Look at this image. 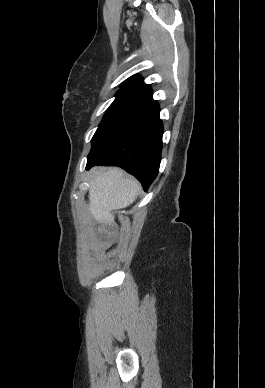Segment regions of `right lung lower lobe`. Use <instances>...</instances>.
Instances as JSON below:
<instances>
[{
    "label": "right lung lower lobe",
    "mask_w": 265,
    "mask_h": 388,
    "mask_svg": "<svg viewBox=\"0 0 265 388\" xmlns=\"http://www.w3.org/2000/svg\"><path fill=\"white\" fill-rule=\"evenodd\" d=\"M159 112L157 101H151L89 153L86 169L95 164L120 166L148 189L160 166L163 125Z\"/></svg>",
    "instance_id": "obj_1"
}]
</instances>
